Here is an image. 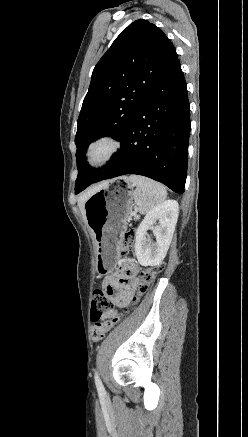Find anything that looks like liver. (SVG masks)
Returning <instances> with one entry per match:
<instances>
[{
  "label": "liver",
  "mask_w": 248,
  "mask_h": 437,
  "mask_svg": "<svg viewBox=\"0 0 248 437\" xmlns=\"http://www.w3.org/2000/svg\"><path fill=\"white\" fill-rule=\"evenodd\" d=\"M102 187V185H99V186H97V187H94V188H92V189H90V190H88V191H86V192H84V193H82L81 194V196L79 197V199H78V205H79V208H80V211H81V213H82V215H83V217L85 218V210H84V203H85V201L94 193V192H96L98 189H100Z\"/></svg>",
  "instance_id": "6515ba94"
}]
</instances>
